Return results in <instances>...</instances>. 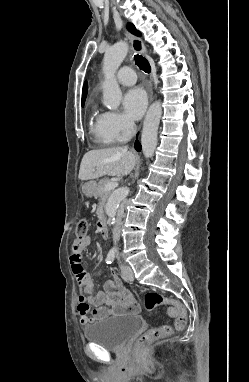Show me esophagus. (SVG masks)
Segmentation results:
<instances>
[{"label": "esophagus", "instance_id": "obj_1", "mask_svg": "<svg viewBox=\"0 0 249 382\" xmlns=\"http://www.w3.org/2000/svg\"><path fill=\"white\" fill-rule=\"evenodd\" d=\"M125 36L130 41L132 50L134 52L139 53V54H147L146 47L140 38H138V37H136V36H134L128 32H125ZM155 73H156V68H155V65L152 63V80H153ZM152 99H153V89L151 88L150 101H152Z\"/></svg>", "mask_w": 249, "mask_h": 382}]
</instances>
